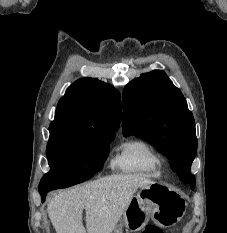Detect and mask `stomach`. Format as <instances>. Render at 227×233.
<instances>
[{
  "label": "stomach",
  "instance_id": "obj_1",
  "mask_svg": "<svg viewBox=\"0 0 227 233\" xmlns=\"http://www.w3.org/2000/svg\"><path fill=\"white\" fill-rule=\"evenodd\" d=\"M186 206L184 196L163 183L142 186L129 202L120 224L112 233H122L123 227L139 231L150 218L159 226H173L183 217Z\"/></svg>",
  "mask_w": 227,
  "mask_h": 233
}]
</instances>
